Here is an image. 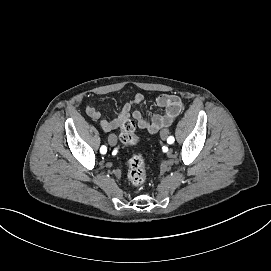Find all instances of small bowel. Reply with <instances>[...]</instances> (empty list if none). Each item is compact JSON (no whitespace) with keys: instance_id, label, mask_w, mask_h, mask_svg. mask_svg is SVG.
I'll list each match as a JSON object with an SVG mask.
<instances>
[{"instance_id":"c3829d8e","label":"small bowel","mask_w":271,"mask_h":271,"mask_svg":"<svg viewBox=\"0 0 271 271\" xmlns=\"http://www.w3.org/2000/svg\"><path fill=\"white\" fill-rule=\"evenodd\" d=\"M143 100V95L137 94L131 101L124 104L118 111L117 117L112 120L102 119L101 113L91 105H86L85 112L90 119L99 121L102 130L106 133L120 128L130 118L137 122L139 128L156 133L159 129L171 125L183 108L178 96L161 94L156 98V105L162 109V112L146 117L141 111H132V107L142 103Z\"/></svg>"}]
</instances>
